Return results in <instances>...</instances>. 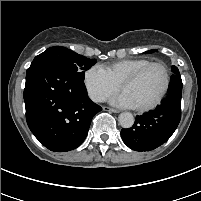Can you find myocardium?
<instances>
[{
  "label": "myocardium",
  "instance_id": "1",
  "mask_svg": "<svg viewBox=\"0 0 201 201\" xmlns=\"http://www.w3.org/2000/svg\"><path fill=\"white\" fill-rule=\"evenodd\" d=\"M152 66H159L163 70L164 78H165L164 85L160 93L158 94V96L152 102L142 106H134V108L138 111H148L150 109H153L163 100V98L165 97V95L167 94L169 90L170 83H171V75H170L168 66L162 61H150L149 63L141 66L140 68L135 70L133 73H131L129 76H127L119 85L120 89L123 90V88L126 85L134 82L145 70H147L148 68Z\"/></svg>",
  "mask_w": 201,
  "mask_h": 201
}]
</instances>
